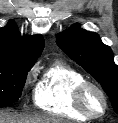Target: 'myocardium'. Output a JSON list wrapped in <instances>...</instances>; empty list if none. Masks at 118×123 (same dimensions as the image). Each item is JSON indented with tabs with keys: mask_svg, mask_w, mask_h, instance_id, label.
<instances>
[{
	"mask_svg": "<svg viewBox=\"0 0 118 123\" xmlns=\"http://www.w3.org/2000/svg\"><path fill=\"white\" fill-rule=\"evenodd\" d=\"M91 91L96 92L102 100L103 109L100 113L93 112L87 104V96ZM74 104L76 109L89 119H98L103 117L107 113L109 106L107 96L103 89L98 85L88 81L77 87L74 94Z\"/></svg>",
	"mask_w": 118,
	"mask_h": 123,
	"instance_id": "1",
	"label": "myocardium"
}]
</instances>
